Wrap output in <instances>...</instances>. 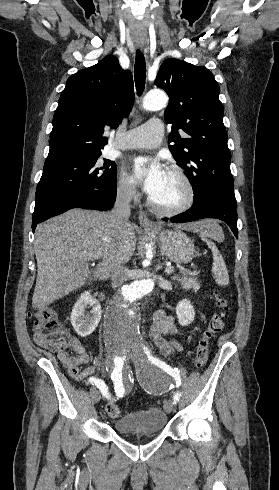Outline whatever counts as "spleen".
Instances as JSON below:
<instances>
[{
  "label": "spleen",
  "instance_id": "obj_1",
  "mask_svg": "<svg viewBox=\"0 0 279 490\" xmlns=\"http://www.w3.org/2000/svg\"><path fill=\"white\" fill-rule=\"evenodd\" d=\"M199 232L202 240L207 242L211 252H213L212 274L218 286H228L229 274L226 264L215 244L210 242V240H207V238H212V240H216V242H223L224 234L221 226H219L217 222H214V220H203Z\"/></svg>",
  "mask_w": 279,
  "mask_h": 490
}]
</instances>
